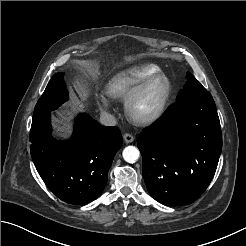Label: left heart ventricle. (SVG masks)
Returning <instances> with one entry per match:
<instances>
[{
	"label": "left heart ventricle",
	"instance_id": "left-heart-ventricle-1",
	"mask_svg": "<svg viewBox=\"0 0 246 246\" xmlns=\"http://www.w3.org/2000/svg\"><path fill=\"white\" fill-rule=\"evenodd\" d=\"M166 84L163 80H158L154 82L145 92L141 98L138 109L141 112L151 111L159 103L164 91Z\"/></svg>",
	"mask_w": 246,
	"mask_h": 246
}]
</instances>
